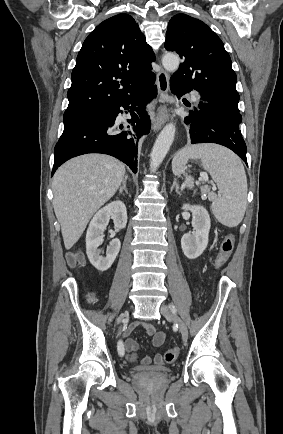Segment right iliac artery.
Instances as JSON below:
<instances>
[{
  "instance_id": "obj_1",
  "label": "right iliac artery",
  "mask_w": 283,
  "mask_h": 434,
  "mask_svg": "<svg viewBox=\"0 0 283 434\" xmlns=\"http://www.w3.org/2000/svg\"><path fill=\"white\" fill-rule=\"evenodd\" d=\"M120 344H121V342L119 341L118 342V352H119L120 355H123V353L120 352Z\"/></svg>"
}]
</instances>
